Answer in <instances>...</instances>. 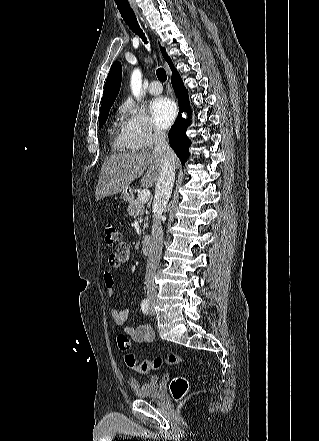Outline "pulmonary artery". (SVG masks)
<instances>
[{"instance_id": "pulmonary-artery-1", "label": "pulmonary artery", "mask_w": 319, "mask_h": 441, "mask_svg": "<svg viewBox=\"0 0 319 441\" xmlns=\"http://www.w3.org/2000/svg\"><path fill=\"white\" fill-rule=\"evenodd\" d=\"M149 92L152 95H158L162 92V86L158 81H152L149 86Z\"/></svg>"}]
</instances>
